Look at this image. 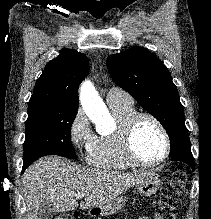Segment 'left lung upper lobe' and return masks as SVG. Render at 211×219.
<instances>
[{"instance_id": "1", "label": "left lung upper lobe", "mask_w": 211, "mask_h": 219, "mask_svg": "<svg viewBox=\"0 0 211 219\" xmlns=\"http://www.w3.org/2000/svg\"><path fill=\"white\" fill-rule=\"evenodd\" d=\"M107 68L115 83L163 125L170 139V155L190 148L183 106L164 64L146 48L136 47L109 56Z\"/></svg>"}]
</instances>
